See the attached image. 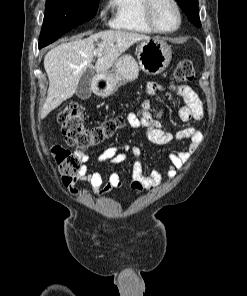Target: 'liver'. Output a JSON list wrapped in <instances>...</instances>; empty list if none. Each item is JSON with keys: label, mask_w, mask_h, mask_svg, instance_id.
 <instances>
[{"label": "liver", "mask_w": 247, "mask_h": 296, "mask_svg": "<svg viewBox=\"0 0 247 296\" xmlns=\"http://www.w3.org/2000/svg\"><path fill=\"white\" fill-rule=\"evenodd\" d=\"M148 39L149 36L140 33L108 30L91 34L85 39L80 36L51 49L44 57L49 88L40 113L41 119L73 96L88 67L94 68L97 74L107 72L134 43ZM95 56L97 61L92 67Z\"/></svg>", "instance_id": "liver-1"}]
</instances>
